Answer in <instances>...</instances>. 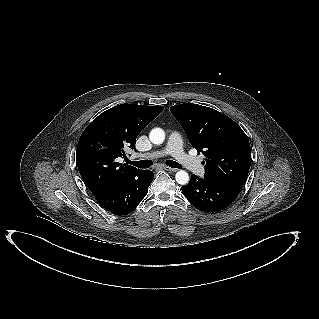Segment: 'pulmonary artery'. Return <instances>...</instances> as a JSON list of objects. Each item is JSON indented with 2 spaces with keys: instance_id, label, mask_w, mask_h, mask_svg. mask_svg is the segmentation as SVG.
<instances>
[{
  "instance_id": "obj_1",
  "label": "pulmonary artery",
  "mask_w": 319,
  "mask_h": 319,
  "mask_svg": "<svg viewBox=\"0 0 319 319\" xmlns=\"http://www.w3.org/2000/svg\"><path fill=\"white\" fill-rule=\"evenodd\" d=\"M166 155H172L178 163L197 175H203L205 172L200 160L183 150V142L179 133H171L164 149L145 154V157L159 158Z\"/></svg>"
}]
</instances>
